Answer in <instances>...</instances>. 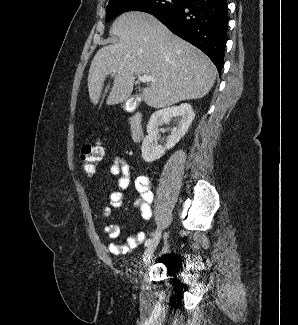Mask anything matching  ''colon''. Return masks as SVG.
I'll list each match as a JSON object with an SVG mask.
<instances>
[{
  "instance_id": "1",
  "label": "colon",
  "mask_w": 298,
  "mask_h": 325,
  "mask_svg": "<svg viewBox=\"0 0 298 325\" xmlns=\"http://www.w3.org/2000/svg\"><path fill=\"white\" fill-rule=\"evenodd\" d=\"M103 156V148L99 142L95 144L84 143L79 152L81 168L88 176L95 173L98 163Z\"/></svg>"
}]
</instances>
